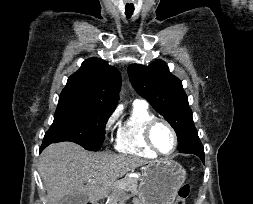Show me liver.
<instances>
[{
    "instance_id": "liver-1",
    "label": "liver",
    "mask_w": 253,
    "mask_h": 204,
    "mask_svg": "<svg viewBox=\"0 0 253 204\" xmlns=\"http://www.w3.org/2000/svg\"><path fill=\"white\" fill-rule=\"evenodd\" d=\"M148 161L133 155L91 152L72 142L49 145L39 159L48 204L84 194L92 204L109 194L115 181Z\"/></svg>"
}]
</instances>
